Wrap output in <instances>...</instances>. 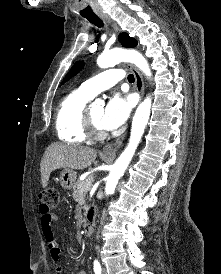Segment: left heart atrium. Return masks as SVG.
Returning <instances> with one entry per match:
<instances>
[{
	"label": "left heart atrium",
	"instance_id": "left-heart-atrium-1",
	"mask_svg": "<svg viewBox=\"0 0 221 274\" xmlns=\"http://www.w3.org/2000/svg\"><path fill=\"white\" fill-rule=\"evenodd\" d=\"M132 101L128 97L115 95L104 108L100 124L103 129L113 130L119 127L128 118Z\"/></svg>",
	"mask_w": 221,
	"mask_h": 274
}]
</instances>
